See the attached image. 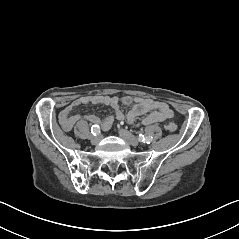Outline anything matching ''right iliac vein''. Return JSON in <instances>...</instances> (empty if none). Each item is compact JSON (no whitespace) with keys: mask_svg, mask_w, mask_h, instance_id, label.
<instances>
[{"mask_svg":"<svg viewBox=\"0 0 239 239\" xmlns=\"http://www.w3.org/2000/svg\"><path fill=\"white\" fill-rule=\"evenodd\" d=\"M99 137H95V136H93V135H91L90 137H89V140H90V142L92 143V144H97L98 143V141H99Z\"/></svg>","mask_w":239,"mask_h":239,"instance_id":"right-iliac-vein-1","label":"right iliac vein"}]
</instances>
